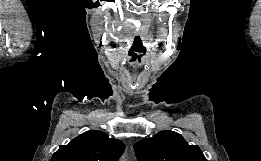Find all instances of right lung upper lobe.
Instances as JSON below:
<instances>
[{"instance_id":"right-lung-upper-lobe-1","label":"right lung upper lobe","mask_w":261,"mask_h":161,"mask_svg":"<svg viewBox=\"0 0 261 161\" xmlns=\"http://www.w3.org/2000/svg\"><path fill=\"white\" fill-rule=\"evenodd\" d=\"M125 145L98 130L87 131L60 146L51 161H117Z\"/></svg>"}]
</instances>
